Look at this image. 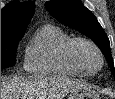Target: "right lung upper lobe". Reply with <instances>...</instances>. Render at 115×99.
<instances>
[{"label":"right lung upper lobe","instance_id":"1","mask_svg":"<svg viewBox=\"0 0 115 99\" xmlns=\"http://www.w3.org/2000/svg\"><path fill=\"white\" fill-rule=\"evenodd\" d=\"M34 10L32 2L12 1L7 4L1 10V35L24 34Z\"/></svg>","mask_w":115,"mask_h":99}]
</instances>
